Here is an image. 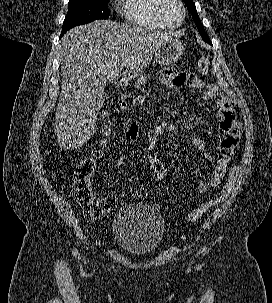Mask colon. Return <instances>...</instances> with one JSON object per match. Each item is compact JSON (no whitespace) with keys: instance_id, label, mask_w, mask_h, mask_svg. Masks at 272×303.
<instances>
[{"instance_id":"obj_1","label":"colon","mask_w":272,"mask_h":303,"mask_svg":"<svg viewBox=\"0 0 272 303\" xmlns=\"http://www.w3.org/2000/svg\"><path fill=\"white\" fill-rule=\"evenodd\" d=\"M199 72L205 74L208 70L209 60L208 58H201L199 60ZM109 127L105 123L102 127V138H100L94 148L84 157L75 167L73 175V188L74 198L82 208L84 216L89 220L101 218L116 207V200L113 197H97L94 194L92 186V177L96 169V160L101 156V149L104 144V137L107 136ZM140 165L145 170L152 172L157 179L163 180L166 178L167 169L164 162L160 157L150 153H144L137 158ZM239 173V167L233 166L229 172L228 182L226 188L215 199L207 202L206 204L190 211L186 215L187 221H195L202 215L208 212L211 208L221 203L227 197L229 191L233 188L237 176ZM136 195L139 198H147L149 196V190L146 187H139L136 190Z\"/></svg>"}]
</instances>
